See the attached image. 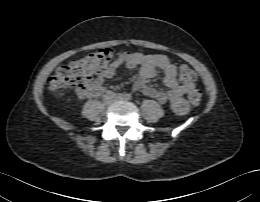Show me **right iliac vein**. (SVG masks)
Here are the masks:
<instances>
[{
    "label": "right iliac vein",
    "mask_w": 260,
    "mask_h": 202,
    "mask_svg": "<svg viewBox=\"0 0 260 202\" xmlns=\"http://www.w3.org/2000/svg\"><path fill=\"white\" fill-rule=\"evenodd\" d=\"M103 101H104L105 104H110L113 101V97L105 96Z\"/></svg>",
    "instance_id": "right-iliac-vein-1"
}]
</instances>
